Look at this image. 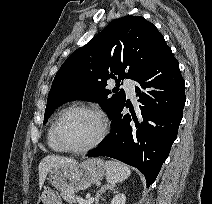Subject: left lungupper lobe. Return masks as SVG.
<instances>
[{
    "label": "left lung upper lobe",
    "instance_id": "5c2ea615",
    "mask_svg": "<svg viewBox=\"0 0 212 204\" xmlns=\"http://www.w3.org/2000/svg\"><path fill=\"white\" fill-rule=\"evenodd\" d=\"M168 48L157 28L143 17L113 20L63 63L48 95L43 124L56 108L75 99L96 101L111 116L126 101L121 80H135ZM110 78L116 81L113 90L106 88Z\"/></svg>",
    "mask_w": 212,
    "mask_h": 204
}]
</instances>
